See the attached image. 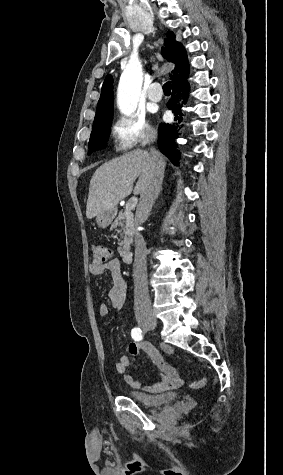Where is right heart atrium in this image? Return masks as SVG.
I'll use <instances>...</instances> for the list:
<instances>
[{
  "mask_svg": "<svg viewBox=\"0 0 283 475\" xmlns=\"http://www.w3.org/2000/svg\"><path fill=\"white\" fill-rule=\"evenodd\" d=\"M155 135V129L141 114L120 115L110 126L112 149L122 155L144 152Z\"/></svg>",
  "mask_w": 283,
  "mask_h": 475,
  "instance_id": "obj_1",
  "label": "right heart atrium"
}]
</instances>
